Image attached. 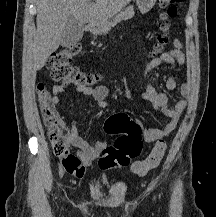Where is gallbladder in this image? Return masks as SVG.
<instances>
[{
  "instance_id": "1",
  "label": "gallbladder",
  "mask_w": 216,
  "mask_h": 217,
  "mask_svg": "<svg viewBox=\"0 0 216 217\" xmlns=\"http://www.w3.org/2000/svg\"><path fill=\"white\" fill-rule=\"evenodd\" d=\"M83 37V25L70 17L61 33L60 45L69 47L77 44Z\"/></svg>"
}]
</instances>
